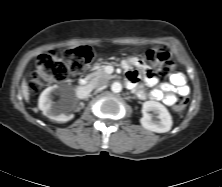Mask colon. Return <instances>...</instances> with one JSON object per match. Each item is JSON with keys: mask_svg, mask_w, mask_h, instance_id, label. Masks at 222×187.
I'll return each instance as SVG.
<instances>
[{"mask_svg": "<svg viewBox=\"0 0 222 187\" xmlns=\"http://www.w3.org/2000/svg\"><path fill=\"white\" fill-rule=\"evenodd\" d=\"M92 53L88 48L65 50L61 56L56 53L41 55L36 64L33 78L29 82V91L38 93L43 87L64 81L69 77L81 76L89 67ZM146 59L155 67V72L168 75L174 69L173 60L165 49H151L146 52ZM188 105L186 97L179 98L174 104V111L182 113Z\"/></svg>", "mask_w": 222, "mask_h": 187, "instance_id": "1", "label": "colon"}]
</instances>
